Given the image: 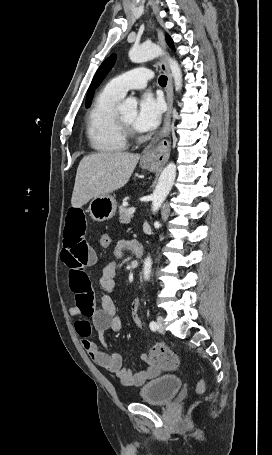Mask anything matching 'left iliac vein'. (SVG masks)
Wrapping results in <instances>:
<instances>
[{
    "label": "left iliac vein",
    "mask_w": 272,
    "mask_h": 455,
    "mask_svg": "<svg viewBox=\"0 0 272 455\" xmlns=\"http://www.w3.org/2000/svg\"><path fill=\"white\" fill-rule=\"evenodd\" d=\"M157 325H158V331L160 333H164L165 331V324H164V319L162 316L157 317Z\"/></svg>",
    "instance_id": "1"
}]
</instances>
